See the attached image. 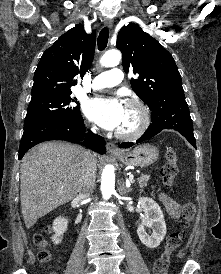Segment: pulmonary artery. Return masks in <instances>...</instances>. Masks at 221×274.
Here are the masks:
<instances>
[{"mask_svg":"<svg viewBox=\"0 0 221 274\" xmlns=\"http://www.w3.org/2000/svg\"><path fill=\"white\" fill-rule=\"evenodd\" d=\"M122 78V71L120 69L114 68L97 75L92 81V88L102 89L114 87L121 83Z\"/></svg>","mask_w":221,"mask_h":274,"instance_id":"obj_1","label":"pulmonary artery"}]
</instances>
